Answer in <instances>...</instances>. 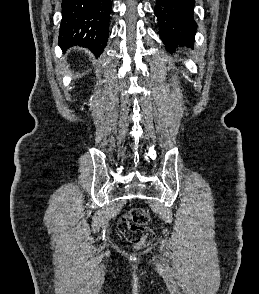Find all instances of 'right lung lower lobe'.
Returning <instances> with one entry per match:
<instances>
[{
  "instance_id": "1",
  "label": "right lung lower lobe",
  "mask_w": 259,
  "mask_h": 294,
  "mask_svg": "<svg viewBox=\"0 0 259 294\" xmlns=\"http://www.w3.org/2000/svg\"><path fill=\"white\" fill-rule=\"evenodd\" d=\"M111 0H63L61 48L82 46L99 56L108 39Z\"/></svg>"
}]
</instances>
